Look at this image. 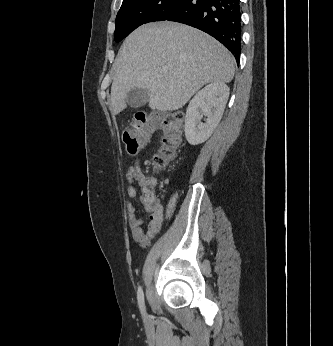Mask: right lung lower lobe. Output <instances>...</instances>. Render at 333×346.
Here are the masks:
<instances>
[{
  "label": "right lung lower lobe",
  "mask_w": 333,
  "mask_h": 346,
  "mask_svg": "<svg viewBox=\"0 0 333 346\" xmlns=\"http://www.w3.org/2000/svg\"><path fill=\"white\" fill-rule=\"evenodd\" d=\"M165 20L198 28L220 41L239 61L240 0H183Z\"/></svg>",
  "instance_id": "right-lung-lower-lobe-1"
}]
</instances>
